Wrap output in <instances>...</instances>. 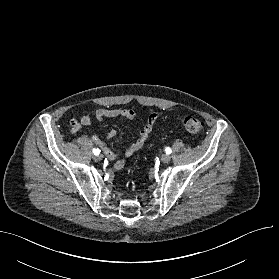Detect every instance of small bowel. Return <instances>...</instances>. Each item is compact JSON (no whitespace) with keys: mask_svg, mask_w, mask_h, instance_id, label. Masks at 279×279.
<instances>
[{"mask_svg":"<svg viewBox=\"0 0 279 279\" xmlns=\"http://www.w3.org/2000/svg\"><path fill=\"white\" fill-rule=\"evenodd\" d=\"M161 115L160 112H152L149 114L148 118L146 119L143 127L140 129L138 137L128 143L126 146L124 157H130L136 151H138L146 142L149 135L153 131L154 123L156 119ZM126 118L128 120H132L135 118V112L132 109H122V108H113V109H98L95 111L94 118H91L88 115H85L81 118L80 123H76L73 127V131L77 132L81 126H89L93 123L94 120L103 121L109 118ZM116 136V131L114 129H110L107 132V138L113 139ZM92 141L99 146L104 154L111 160H116L114 167L116 170H120L124 167L125 158L119 157L115 152H113L107 144L99 138L97 135L92 136Z\"/></svg>","mask_w":279,"mask_h":279,"instance_id":"c3829d8e","label":"small bowel"}]
</instances>
